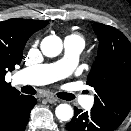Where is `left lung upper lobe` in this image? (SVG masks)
<instances>
[{"label":"left lung upper lobe","instance_id":"1","mask_svg":"<svg viewBox=\"0 0 131 131\" xmlns=\"http://www.w3.org/2000/svg\"><path fill=\"white\" fill-rule=\"evenodd\" d=\"M99 39L87 84L95 90L94 110L119 127L131 110V44L114 27L96 23Z\"/></svg>","mask_w":131,"mask_h":131}]
</instances>
